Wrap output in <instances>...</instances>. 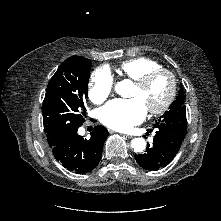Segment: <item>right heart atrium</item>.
I'll list each match as a JSON object with an SVG mask.
<instances>
[{
	"instance_id": "1",
	"label": "right heart atrium",
	"mask_w": 221,
	"mask_h": 221,
	"mask_svg": "<svg viewBox=\"0 0 221 221\" xmlns=\"http://www.w3.org/2000/svg\"><path fill=\"white\" fill-rule=\"evenodd\" d=\"M113 86L114 80L108 69H96L90 77V100L96 104L104 102L111 95Z\"/></svg>"
}]
</instances>
